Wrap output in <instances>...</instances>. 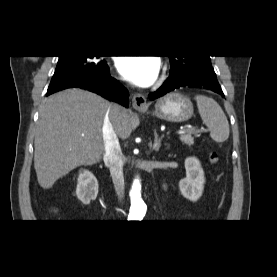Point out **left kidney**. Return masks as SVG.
I'll use <instances>...</instances> for the list:
<instances>
[{
	"mask_svg": "<svg viewBox=\"0 0 277 277\" xmlns=\"http://www.w3.org/2000/svg\"><path fill=\"white\" fill-rule=\"evenodd\" d=\"M185 169L186 177L179 181V189L186 199L196 202L204 190V171L200 161L195 157L186 158Z\"/></svg>",
	"mask_w": 277,
	"mask_h": 277,
	"instance_id": "1",
	"label": "left kidney"
}]
</instances>
